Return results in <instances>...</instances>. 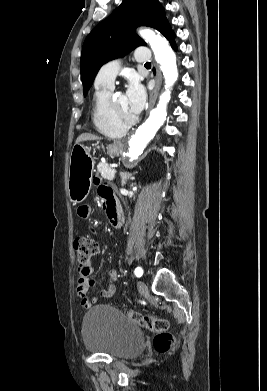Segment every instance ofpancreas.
I'll use <instances>...</instances> for the list:
<instances>
[{"label": "pancreas", "mask_w": 267, "mask_h": 391, "mask_svg": "<svg viewBox=\"0 0 267 391\" xmlns=\"http://www.w3.org/2000/svg\"><path fill=\"white\" fill-rule=\"evenodd\" d=\"M97 171L101 176L107 180H113L115 176V170H113L107 163L100 162L97 165Z\"/></svg>", "instance_id": "obj_1"}]
</instances>
